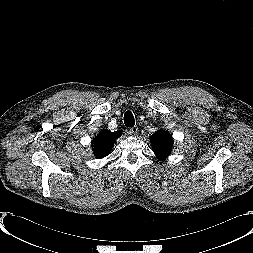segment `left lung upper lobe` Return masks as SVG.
<instances>
[{"instance_id": "5c2ea615", "label": "left lung upper lobe", "mask_w": 253, "mask_h": 253, "mask_svg": "<svg viewBox=\"0 0 253 253\" xmlns=\"http://www.w3.org/2000/svg\"><path fill=\"white\" fill-rule=\"evenodd\" d=\"M150 141L152 150L158 159H165L169 156L172 149L173 139L167 131L160 130L156 132L151 136Z\"/></svg>"}]
</instances>
